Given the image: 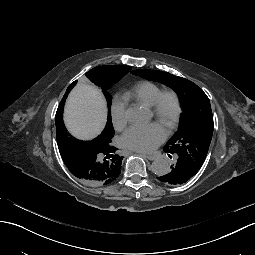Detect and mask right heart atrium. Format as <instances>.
Here are the masks:
<instances>
[{
	"label": "right heart atrium",
	"mask_w": 255,
	"mask_h": 255,
	"mask_svg": "<svg viewBox=\"0 0 255 255\" xmlns=\"http://www.w3.org/2000/svg\"><path fill=\"white\" fill-rule=\"evenodd\" d=\"M110 118L113 127L117 131L123 130L128 123L127 111L124 104L119 100H114L110 107Z\"/></svg>",
	"instance_id": "d8ad5b80"
}]
</instances>
